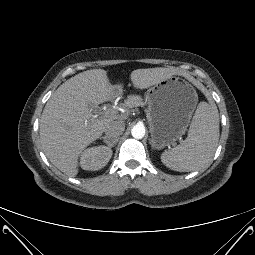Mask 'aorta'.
Returning <instances> with one entry per match:
<instances>
[{"label": "aorta", "mask_w": 255, "mask_h": 255, "mask_svg": "<svg viewBox=\"0 0 255 255\" xmlns=\"http://www.w3.org/2000/svg\"><path fill=\"white\" fill-rule=\"evenodd\" d=\"M131 134L135 139H142L145 136V127L143 125H135L131 130Z\"/></svg>", "instance_id": "aorta-1"}]
</instances>
